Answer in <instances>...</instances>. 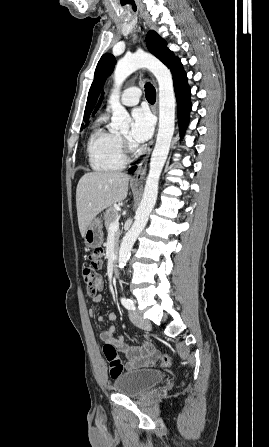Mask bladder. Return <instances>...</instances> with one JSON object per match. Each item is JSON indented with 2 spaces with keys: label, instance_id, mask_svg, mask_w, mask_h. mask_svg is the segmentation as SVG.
Returning <instances> with one entry per match:
<instances>
[{
  "label": "bladder",
  "instance_id": "bladder-1",
  "mask_svg": "<svg viewBox=\"0 0 269 447\" xmlns=\"http://www.w3.org/2000/svg\"><path fill=\"white\" fill-rule=\"evenodd\" d=\"M165 377L164 371L155 368L119 372L113 381L112 389L115 394L138 397L144 390L162 382Z\"/></svg>",
  "mask_w": 269,
  "mask_h": 447
}]
</instances>
